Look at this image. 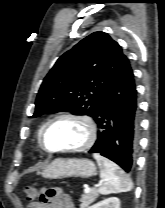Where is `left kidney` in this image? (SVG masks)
I'll return each instance as SVG.
<instances>
[{"label": "left kidney", "mask_w": 165, "mask_h": 208, "mask_svg": "<svg viewBox=\"0 0 165 208\" xmlns=\"http://www.w3.org/2000/svg\"><path fill=\"white\" fill-rule=\"evenodd\" d=\"M89 208H120V200L117 197H110L90 206Z\"/></svg>", "instance_id": "left-kidney-1"}]
</instances>
